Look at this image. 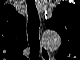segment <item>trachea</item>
<instances>
[{"label":"trachea","mask_w":80,"mask_h":60,"mask_svg":"<svg viewBox=\"0 0 80 60\" xmlns=\"http://www.w3.org/2000/svg\"><path fill=\"white\" fill-rule=\"evenodd\" d=\"M28 11V41L30 44L31 54L33 58L39 57L40 40H39V15L35 6V0H27Z\"/></svg>","instance_id":"obj_1"}]
</instances>
